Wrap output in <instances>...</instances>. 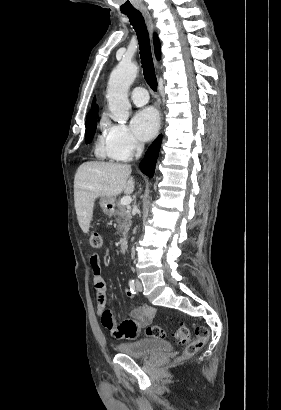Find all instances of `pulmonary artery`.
<instances>
[{
    "mask_svg": "<svg viewBox=\"0 0 281 410\" xmlns=\"http://www.w3.org/2000/svg\"><path fill=\"white\" fill-rule=\"evenodd\" d=\"M131 100L137 106H143L148 103L149 96L145 88L143 87H135L131 91Z\"/></svg>",
    "mask_w": 281,
    "mask_h": 410,
    "instance_id": "1",
    "label": "pulmonary artery"
}]
</instances>
